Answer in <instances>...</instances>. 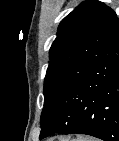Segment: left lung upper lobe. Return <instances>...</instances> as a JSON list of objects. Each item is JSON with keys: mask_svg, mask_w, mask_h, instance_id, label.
<instances>
[{"mask_svg": "<svg viewBox=\"0 0 119 141\" xmlns=\"http://www.w3.org/2000/svg\"><path fill=\"white\" fill-rule=\"evenodd\" d=\"M116 13L104 3L82 2L60 23L44 80V107L80 75L96 56Z\"/></svg>", "mask_w": 119, "mask_h": 141, "instance_id": "1", "label": "left lung upper lobe"}]
</instances>
